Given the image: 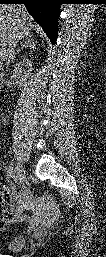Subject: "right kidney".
Instances as JSON below:
<instances>
[{"label":"right kidney","instance_id":"1","mask_svg":"<svg viewBox=\"0 0 106 257\" xmlns=\"http://www.w3.org/2000/svg\"><path fill=\"white\" fill-rule=\"evenodd\" d=\"M32 71V62L28 59H24L14 66L13 73L15 77L19 80V85H22L24 81L30 76Z\"/></svg>","mask_w":106,"mask_h":257}]
</instances>
